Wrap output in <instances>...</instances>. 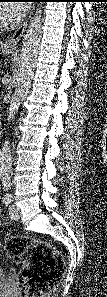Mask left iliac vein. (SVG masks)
I'll return each mask as SVG.
<instances>
[{
    "mask_svg": "<svg viewBox=\"0 0 107 297\" xmlns=\"http://www.w3.org/2000/svg\"><path fill=\"white\" fill-rule=\"evenodd\" d=\"M9 214L12 219L18 220L20 218V209L16 205L12 204L9 207Z\"/></svg>",
    "mask_w": 107,
    "mask_h": 297,
    "instance_id": "4c4485c4",
    "label": "left iliac vein"
}]
</instances>
